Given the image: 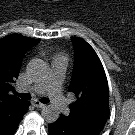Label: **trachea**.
Instances as JSON below:
<instances>
[{"instance_id": "3493384b", "label": "trachea", "mask_w": 135, "mask_h": 135, "mask_svg": "<svg viewBox=\"0 0 135 135\" xmlns=\"http://www.w3.org/2000/svg\"><path fill=\"white\" fill-rule=\"evenodd\" d=\"M15 95L19 96L23 100H30L31 99V95L29 93H17V92H15ZM40 101L44 104L49 103V99L46 98V97L41 98Z\"/></svg>"}]
</instances>
